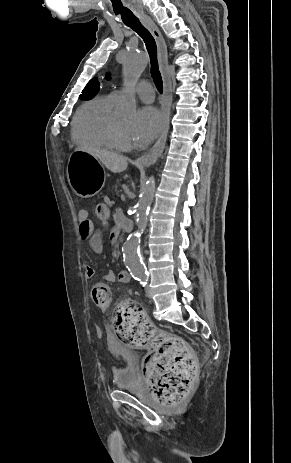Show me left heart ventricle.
Returning a JSON list of instances; mask_svg holds the SVG:
<instances>
[{
	"label": "left heart ventricle",
	"mask_w": 291,
	"mask_h": 463,
	"mask_svg": "<svg viewBox=\"0 0 291 463\" xmlns=\"http://www.w3.org/2000/svg\"><path fill=\"white\" fill-rule=\"evenodd\" d=\"M117 123L119 127L121 128V130L125 132L130 138L131 123L123 121V120H118Z\"/></svg>",
	"instance_id": "obj_1"
}]
</instances>
